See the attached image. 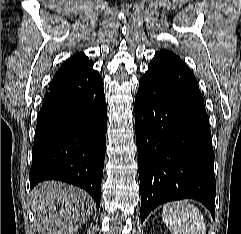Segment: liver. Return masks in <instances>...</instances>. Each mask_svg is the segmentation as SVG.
<instances>
[{"mask_svg":"<svg viewBox=\"0 0 241 234\" xmlns=\"http://www.w3.org/2000/svg\"><path fill=\"white\" fill-rule=\"evenodd\" d=\"M30 199L36 228L41 234H73L90 218L94 208L88 193L58 181L38 184Z\"/></svg>","mask_w":241,"mask_h":234,"instance_id":"liver-1","label":"liver"}]
</instances>
